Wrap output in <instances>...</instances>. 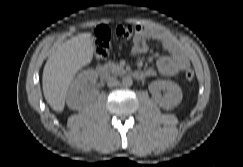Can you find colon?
I'll list each match as a JSON object with an SVG mask.
<instances>
[{
    "mask_svg": "<svg viewBox=\"0 0 243 167\" xmlns=\"http://www.w3.org/2000/svg\"><path fill=\"white\" fill-rule=\"evenodd\" d=\"M138 27L133 25H119L115 28V36L122 42H128L137 32ZM111 29L107 25H100L95 31L94 54L98 60L105 59L110 50ZM194 71L189 68L185 72L187 80H193Z\"/></svg>",
    "mask_w": 243,
    "mask_h": 167,
    "instance_id": "obj_1",
    "label": "colon"
}]
</instances>
